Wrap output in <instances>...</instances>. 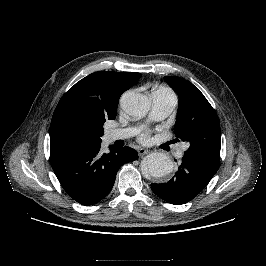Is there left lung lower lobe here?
Masks as SVG:
<instances>
[{
  "label": "left lung lower lobe",
  "mask_w": 266,
  "mask_h": 266,
  "mask_svg": "<svg viewBox=\"0 0 266 266\" xmlns=\"http://www.w3.org/2000/svg\"><path fill=\"white\" fill-rule=\"evenodd\" d=\"M215 173L183 157L178 171L171 180L163 184L152 183L151 188L161 199L180 205L198 195Z\"/></svg>",
  "instance_id": "0a47b994"
}]
</instances>
